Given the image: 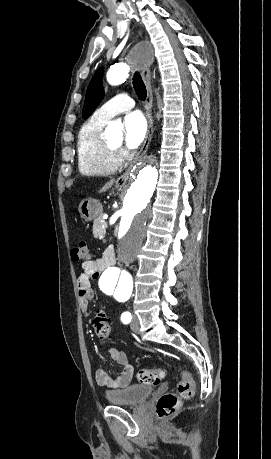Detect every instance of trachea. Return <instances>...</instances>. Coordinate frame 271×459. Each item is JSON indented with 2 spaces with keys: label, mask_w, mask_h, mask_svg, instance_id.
Returning a JSON list of instances; mask_svg holds the SVG:
<instances>
[{
  "label": "trachea",
  "mask_w": 271,
  "mask_h": 459,
  "mask_svg": "<svg viewBox=\"0 0 271 459\" xmlns=\"http://www.w3.org/2000/svg\"><path fill=\"white\" fill-rule=\"evenodd\" d=\"M133 87L140 100H145L147 90L139 72H135L133 76Z\"/></svg>",
  "instance_id": "obj_1"
}]
</instances>
